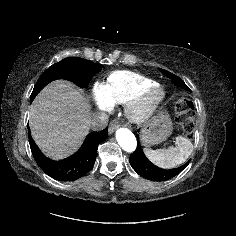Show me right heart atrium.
<instances>
[{"label": "right heart atrium", "instance_id": "1", "mask_svg": "<svg viewBox=\"0 0 236 236\" xmlns=\"http://www.w3.org/2000/svg\"><path fill=\"white\" fill-rule=\"evenodd\" d=\"M105 83L96 82L93 86V97L96 107L100 111L110 110L112 105L106 101L105 97Z\"/></svg>", "mask_w": 236, "mask_h": 236}]
</instances>
